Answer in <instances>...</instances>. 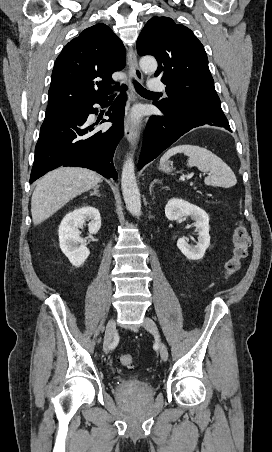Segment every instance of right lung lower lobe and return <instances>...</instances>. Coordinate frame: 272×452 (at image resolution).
Masks as SVG:
<instances>
[{"instance_id": "98d812e1", "label": "right lung lower lobe", "mask_w": 272, "mask_h": 452, "mask_svg": "<svg viewBox=\"0 0 272 452\" xmlns=\"http://www.w3.org/2000/svg\"><path fill=\"white\" fill-rule=\"evenodd\" d=\"M126 86L106 113L113 126L105 132L95 130L87 121L89 114L97 113L93 105H104L108 97L87 102L65 113L46 114L35 147L34 165L30 183L60 166H79L117 180L113 156L124 135L123 119Z\"/></svg>"}]
</instances>
